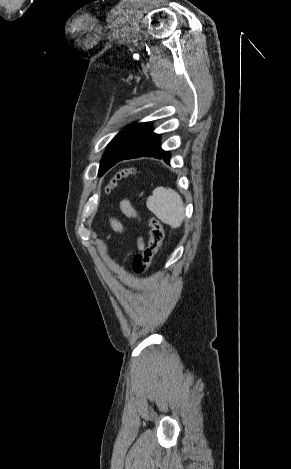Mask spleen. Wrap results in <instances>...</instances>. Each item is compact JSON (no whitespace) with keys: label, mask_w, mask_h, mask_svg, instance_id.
I'll use <instances>...</instances> for the list:
<instances>
[{"label":"spleen","mask_w":291,"mask_h":469,"mask_svg":"<svg viewBox=\"0 0 291 469\" xmlns=\"http://www.w3.org/2000/svg\"><path fill=\"white\" fill-rule=\"evenodd\" d=\"M146 205L163 223L172 228L180 227L184 220L183 200L170 188H155L153 195L148 197Z\"/></svg>","instance_id":"spleen-1"}]
</instances>
